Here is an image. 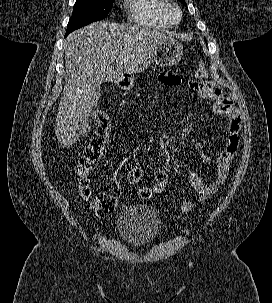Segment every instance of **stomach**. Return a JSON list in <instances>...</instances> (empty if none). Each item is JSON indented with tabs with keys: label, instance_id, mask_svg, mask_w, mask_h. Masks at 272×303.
<instances>
[{
	"label": "stomach",
	"instance_id": "1",
	"mask_svg": "<svg viewBox=\"0 0 272 303\" xmlns=\"http://www.w3.org/2000/svg\"><path fill=\"white\" fill-rule=\"evenodd\" d=\"M183 54V46L174 39H167L159 46L154 62L159 67H169L177 64ZM134 84V78L121 79L118 86L123 89H130Z\"/></svg>",
	"mask_w": 272,
	"mask_h": 303
}]
</instances>
